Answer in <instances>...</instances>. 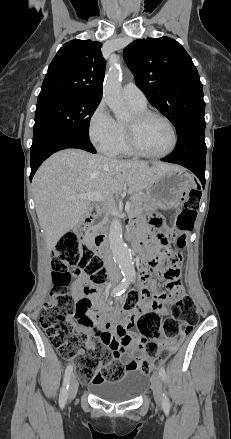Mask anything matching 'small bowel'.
I'll return each mask as SVG.
<instances>
[{
	"label": "small bowel",
	"instance_id": "obj_1",
	"mask_svg": "<svg viewBox=\"0 0 231 439\" xmlns=\"http://www.w3.org/2000/svg\"><path fill=\"white\" fill-rule=\"evenodd\" d=\"M155 224L160 225V220L157 219ZM170 248L166 241H158L155 238H150L148 242V249L143 255V264L145 271L142 278L146 281V285L141 290V298L137 307L132 311H118L113 306L108 305L99 300L100 289H95L92 293H85L82 289V278H77L72 285V290L78 299L86 300L90 303V307L86 309L82 315V320L93 331V339L88 345L94 342L101 343L107 347L114 356L122 358L125 364L135 361L131 358L134 352L142 351L141 339L132 331H130L134 320L142 313L154 311L161 314H167L171 304L179 298L184 289L179 283L180 274V258L175 259L167 269L174 275L166 280V289L169 291L168 295L159 294L155 298L152 296V288L149 286L150 281V261L152 258L162 250L167 253ZM114 322H117L114 324ZM112 330L110 332L109 330ZM172 347L175 349V344L169 340H164L160 343L161 349ZM85 350L82 349L81 353ZM128 370V368L126 369Z\"/></svg>",
	"mask_w": 231,
	"mask_h": 439
}]
</instances>
